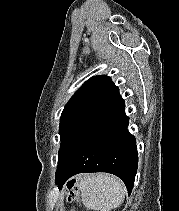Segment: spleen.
<instances>
[{"label":"spleen","mask_w":179,"mask_h":211,"mask_svg":"<svg viewBox=\"0 0 179 211\" xmlns=\"http://www.w3.org/2000/svg\"><path fill=\"white\" fill-rule=\"evenodd\" d=\"M80 190L83 204L97 211H111L119 207L126 194L122 180L103 173L83 176Z\"/></svg>","instance_id":"spleen-1"}]
</instances>
